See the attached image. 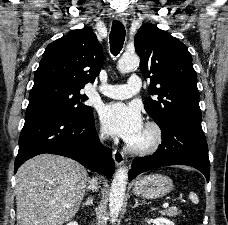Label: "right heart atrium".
Instances as JSON below:
<instances>
[{"mask_svg":"<svg viewBox=\"0 0 228 225\" xmlns=\"http://www.w3.org/2000/svg\"><path fill=\"white\" fill-rule=\"evenodd\" d=\"M98 136H99L100 139H104L106 137L105 132L103 130H100L98 132Z\"/></svg>","mask_w":228,"mask_h":225,"instance_id":"d8ad5b80","label":"right heart atrium"}]
</instances>
